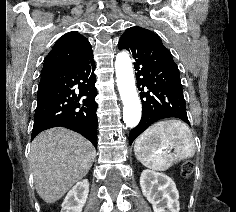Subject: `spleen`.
I'll return each mask as SVG.
<instances>
[{
	"instance_id": "3e777b00",
	"label": "spleen",
	"mask_w": 236,
	"mask_h": 212,
	"mask_svg": "<svg viewBox=\"0 0 236 212\" xmlns=\"http://www.w3.org/2000/svg\"><path fill=\"white\" fill-rule=\"evenodd\" d=\"M134 152L145 167L165 171L172 164L192 157L195 142L187 124L177 119L162 120L151 125L136 139Z\"/></svg>"
}]
</instances>
